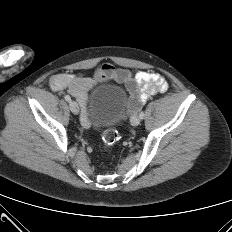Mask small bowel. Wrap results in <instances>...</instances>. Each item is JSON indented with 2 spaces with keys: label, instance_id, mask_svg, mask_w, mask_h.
Wrapping results in <instances>:
<instances>
[{
  "label": "small bowel",
  "instance_id": "1",
  "mask_svg": "<svg viewBox=\"0 0 232 232\" xmlns=\"http://www.w3.org/2000/svg\"><path fill=\"white\" fill-rule=\"evenodd\" d=\"M111 80L125 85L130 93L129 109L132 113L136 112L150 97L168 89L165 78L158 73L139 71L132 74L128 70L116 68L111 63L100 65L93 76L70 73L57 74L51 78L50 86L55 91L67 90L80 103H84L90 89L99 83ZM84 122L88 125L89 117H85Z\"/></svg>",
  "mask_w": 232,
  "mask_h": 232
}]
</instances>
